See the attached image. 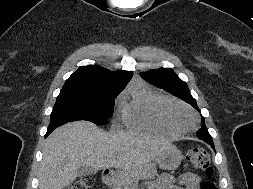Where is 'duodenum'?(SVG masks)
Returning a JSON list of instances; mask_svg holds the SVG:
<instances>
[{"mask_svg":"<svg viewBox=\"0 0 253 189\" xmlns=\"http://www.w3.org/2000/svg\"><path fill=\"white\" fill-rule=\"evenodd\" d=\"M114 179V172L111 169H105L102 172V182L106 186H110Z\"/></svg>","mask_w":253,"mask_h":189,"instance_id":"obj_1","label":"duodenum"}]
</instances>
